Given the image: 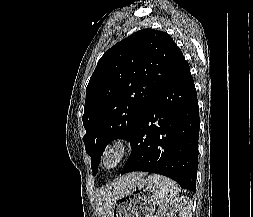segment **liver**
Segmentation results:
<instances>
[{"mask_svg": "<svg viewBox=\"0 0 253 217\" xmlns=\"http://www.w3.org/2000/svg\"><path fill=\"white\" fill-rule=\"evenodd\" d=\"M145 173L135 172L121 176L106 185L96 194V210L99 217H110L116 200L123 196Z\"/></svg>", "mask_w": 253, "mask_h": 217, "instance_id": "obj_1", "label": "liver"}]
</instances>
